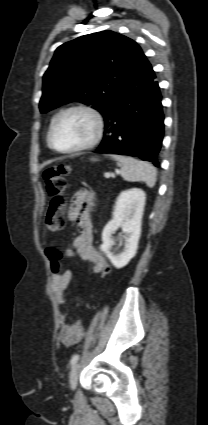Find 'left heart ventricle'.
Masks as SVG:
<instances>
[{
	"label": "left heart ventricle",
	"mask_w": 208,
	"mask_h": 425,
	"mask_svg": "<svg viewBox=\"0 0 208 425\" xmlns=\"http://www.w3.org/2000/svg\"><path fill=\"white\" fill-rule=\"evenodd\" d=\"M95 131L93 119L82 112H72L64 116L57 124L53 143L57 148L69 149L88 142Z\"/></svg>",
	"instance_id": "1"
}]
</instances>
